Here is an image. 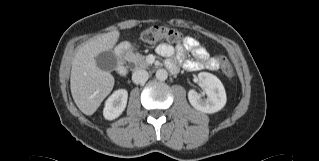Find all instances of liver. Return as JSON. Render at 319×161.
Listing matches in <instances>:
<instances>
[{
  "label": "liver",
  "mask_w": 319,
  "mask_h": 161,
  "mask_svg": "<svg viewBox=\"0 0 319 161\" xmlns=\"http://www.w3.org/2000/svg\"><path fill=\"white\" fill-rule=\"evenodd\" d=\"M119 36L117 30L98 35L80 47L73 58L70 89L75 104L85 115H92L113 89L114 77L97 67L95 57L111 50Z\"/></svg>",
  "instance_id": "liver-1"
}]
</instances>
